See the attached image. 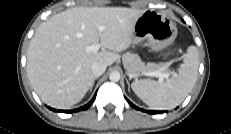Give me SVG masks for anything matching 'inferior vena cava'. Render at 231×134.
<instances>
[{
	"label": "inferior vena cava",
	"instance_id": "1",
	"mask_svg": "<svg viewBox=\"0 0 231 134\" xmlns=\"http://www.w3.org/2000/svg\"><path fill=\"white\" fill-rule=\"evenodd\" d=\"M106 65L104 63H101V62H96L92 65V72H93V75L95 77H99L101 76L105 70H106Z\"/></svg>",
	"mask_w": 231,
	"mask_h": 134
}]
</instances>
